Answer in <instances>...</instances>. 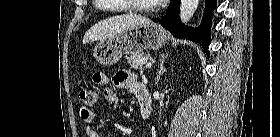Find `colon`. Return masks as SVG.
<instances>
[{
    "mask_svg": "<svg viewBox=\"0 0 280 137\" xmlns=\"http://www.w3.org/2000/svg\"><path fill=\"white\" fill-rule=\"evenodd\" d=\"M79 97L86 106H93L98 99V92L95 88L82 87L79 90Z\"/></svg>",
    "mask_w": 280,
    "mask_h": 137,
    "instance_id": "1",
    "label": "colon"
}]
</instances>
